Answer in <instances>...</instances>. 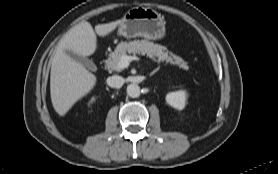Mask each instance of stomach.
Returning a JSON list of instances; mask_svg holds the SVG:
<instances>
[{"mask_svg": "<svg viewBox=\"0 0 278 174\" xmlns=\"http://www.w3.org/2000/svg\"><path fill=\"white\" fill-rule=\"evenodd\" d=\"M119 34L126 38L159 40L165 35V21L154 9L133 7L122 18Z\"/></svg>", "mask_w": 278, "mask_h": 174, "instance_id": "0dacf381", "label": "stomach"}]
</instances>
